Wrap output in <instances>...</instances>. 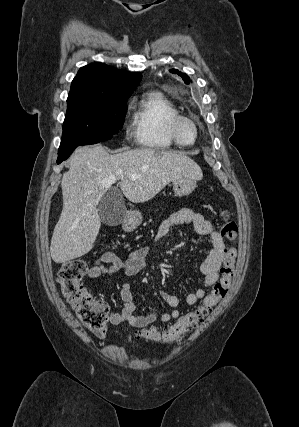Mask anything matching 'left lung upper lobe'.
<instances>
[{
  "instance_id": "left-lung-upper-lobe-1",
  "label": "left lung upper lobe",
  "mask_w": 299,
  "mask_h": 427,
  "mask_svg": "<svg viewBox=\"0 0 299 427\" xmlns=\"http://www.w3.org/2000/svg\"><path fill=\"white\" fill-rule=\"evenodd\" d=\"M170 72L181 76L182 79L185 81V83H187V84L190 83V78L185 73H182V72L175 70V69L170 70Z\"/></svg>"
}]
</instances>
